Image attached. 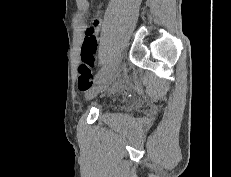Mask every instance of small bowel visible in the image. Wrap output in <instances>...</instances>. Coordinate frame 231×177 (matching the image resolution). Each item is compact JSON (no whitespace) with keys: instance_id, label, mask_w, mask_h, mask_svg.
Masks as SVG:
<instances>
[{"instance_id":"1","label":"small bowel","mask_w":231,"mask_h":177,"mask_svg":"<svg viewBox=\"0 0 231 177\" xmlns=\"http://www.w3.org/2000/svg\"><path fill=\"white\" fill-rule=\"evenodd\" d=\"M102 25V19L100 16H96L93 21H92V27H86V26H82V30L85 31V35L88 32V30H92L94 32V34L97 36V34L100 31ZM119 87H117L118 89Z\"/></svg>"}]
</instances>
